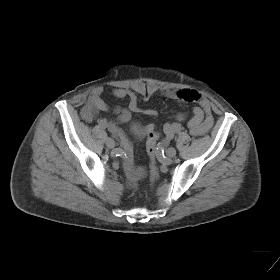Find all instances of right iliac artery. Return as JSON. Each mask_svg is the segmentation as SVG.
Instances as JSON below:
<instances>
[{"mask_svg": "<svg viewBox=\"0 0 280 280\" xmlns=\"http://www.w3.org/2000/svg\"><path fill=\"white\" fill-rule=\"evenodd\" d=\"M99 126L102 128V129H105L108 127V123H107V120L105 119H102L99 121ZM121 146L127 151V152H130V145L129 143L125 140V139H121Z\"/></svg>", "mask_w": 280, "mask_h": 280, "instance_id": "82829eb1", "label": "right iliac artery"}]
</instances>
